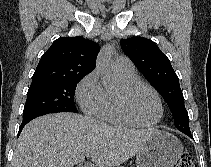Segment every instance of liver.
I'll list each match as a JSON object with an SVG mask.
<instances>
[{
    "mask_svg": "<svg viewBox=\"0 0 211 167\" xmlns=\"http://www.w3.org/2000/svg\"><path fill=\"white\" fill-rule=\"evenodd\" d=\"M154 130L112 127L73 113L41 116L22 130L12 167H73L87 153L99 167L118 166L137 154Z\"/></svg>",
    "mask_w": 211,
    "mask_h": 167,
    "instance_id": "obj_1",
    "label": "liver"
}]
</instances>
